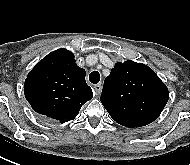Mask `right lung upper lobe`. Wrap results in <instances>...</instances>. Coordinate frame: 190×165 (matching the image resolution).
<instances>
[{"mask_svg": "<svg viewBox=\"0 0 190 165\" xmlns=\"http://www.w3.org/2000/svg\"><path fill=\"white\" fill-rule=\"evenodd\" d=\"M85 70L75 63L72 52L60 48L45 56L29 72L24 94L39 114L65 123L73 120L93 97Z\"/></svg>", "mask_w": 190, "mask_h": 165, "instance_id": "cb5924a9", "label": "right lung upper lobe"}]
</instances>
